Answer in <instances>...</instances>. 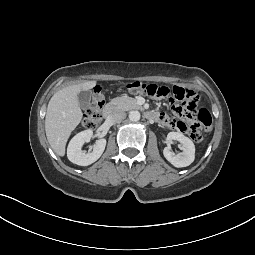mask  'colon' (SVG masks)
I'll return each mask as SVG.
<instances>
[{
    "mask_svg": "<svg viewBox=\"0 0 255 255\" xmlns=\"http://www.w3.org/2000/svg\"><path fill=\"white\" fill-rule=\"evenodd\" d=\"M126 89L133 93L145 94L151 98L161 99L171 97L181 103L175 107V112L186 118L197 119L204 128L206 134L212 130V119L206 109L198 108V95L189 89L174 87L169 89L165 86L147 84L140 80H135L126 85ZM104 96L100 87H95L89 106L84 112L82 126L86 129L97 127L102 121V108L104 106ZM191 139L195 142L202 141L205 136L197 129L189 131Z\"/></svg>",
    "mask_w": 255,
    "mask_h": 255,
    "instance_id": "5ec220e1",
    "label": "colon"
}]
</instances>
